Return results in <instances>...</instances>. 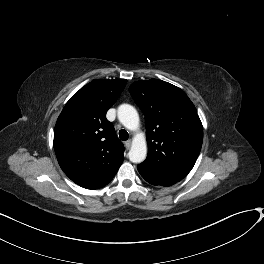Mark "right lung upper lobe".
Wrapping results in <instances>:
<instances>
[{"instance_id":"obj_1","label":"right lung upper lobe","mask_w":264,"mask_h":264,"mask_svg":"<svg viewBox=\"0 0 264 264\" xmlns=\"http://www.w3.org/2000/svg\"><path fill=\"white\" fill-rule=\"evenodd\" d=\"M127 80H94L66 103L54 130V150L63 172L77 185H107L123 162L124 147L106 112Z\"/></svg>"}]
</instances>
